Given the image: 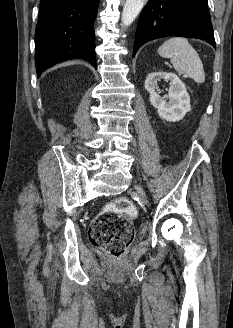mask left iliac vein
I'll return each mask as SVG.
<instances>
[{
  "label": "left iliac vein",
  "mask_w": 233,
  "mask_h": 328,
  "mask_svg": "<svg viewBox=\"0 0 233 328\" xmlns=\"http://www.w3.org/2000/svg\"><path fill=\"white\" fill-rule=\"evenodd\" d=\"M135 189H136V191L138 192V194H139L144 200H146V193H145L144 189H143L141 186H139V185H136Z\"/></svg>",
  "instance_id": "1"
}]
</instances>
